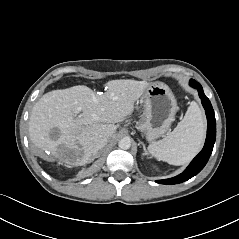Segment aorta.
Here are the masks:
<instances>
[{"mask_svg": "<svg viewBox=\"0 0 239 239\" xmlns=\"http://www.w3.org/2000/svg\"><path fill=\"white\" fill-rule=\"evenodd\" d=\"M118 146L120 149H123V150H127L130 148L131 146V141L129 138L125 137V138H122L119 142H118Z\"/></svg>", "mask_w": 239, "mask_h": 239, "instance_id": "obj_1", "label": "aorta"}]
</instances>
